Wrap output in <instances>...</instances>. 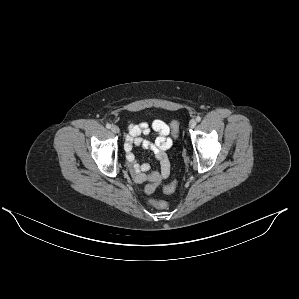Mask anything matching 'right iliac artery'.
<instances>
[{
    "label": "right iliac artery",
    "instance_id": "right-iliac-artery-1",
    "mask_svg": "<svg viewBox=\"0 0 299 299\" xmlns=\"http://www.w3.org/2000/svg\"><path fill=\"white\" fill-rule=\"evenodd\" d=\"M106 128L110 129L111 125L109 123L106 124Z\"/></svg>",
    "mask_w": 299,
    "mask_h": 299
}]
</instances>
